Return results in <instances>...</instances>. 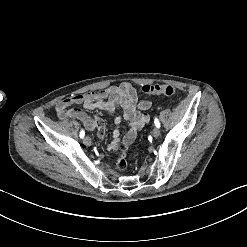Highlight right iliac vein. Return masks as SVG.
Instances as JSON below:
<instances>
[{"mask_svg": "<svg viewBox=\"0 0 247 247\" xmlns=\"http://www.w3.org/2000/svg\"><path fill=\"white\" fill-rule=\"evenodd\" d=\"M83 142L86 146H90L92 144V140L89 136H86L84 139H83Z\"/></svg>", "mask_w": 247, "mask_h": 247, "instance_id": "63e3f726", "label": "right iliac vein"}]
</instances>
